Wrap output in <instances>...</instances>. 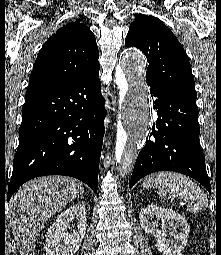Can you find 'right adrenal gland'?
Wrapping results in <instances>:
<instances>
[{"mask_svg": "<svg viewBox=\"0 0 221 255\" xmlns=\"http://www.w3.org/2000/svg\"><path fill=\"white\" fill-rule=\"evenodd\" d=\"M83 193H84V191H83V189H82L81 194H83Z\"/></svg>", "mask_w": 221, "mask_h": 255, "instance_id": "2a0ac1e0", "label": "right adrenal gland"}]
</instances>
